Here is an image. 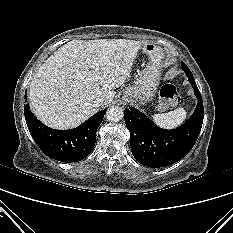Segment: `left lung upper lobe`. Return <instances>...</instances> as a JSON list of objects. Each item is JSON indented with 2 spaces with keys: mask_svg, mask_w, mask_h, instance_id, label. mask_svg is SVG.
<instances>
[{
  "mask_svg": "<svg viewBox=\"0 0 233 233\" xmlns=\"http://www.w3.org/2000/svg\"><path fill=\"white\" fill-rule=\"evenodd\" d=\"M181 65H182V69L185 71L187 76H193L189 68L184 63H181Z\"/></svg>",
  "mask_w": 233,
  "mask_h": 233,
  "instance_id": "5c2ea615",
  "label": "left lung upper lobe"
}]
</instances>
